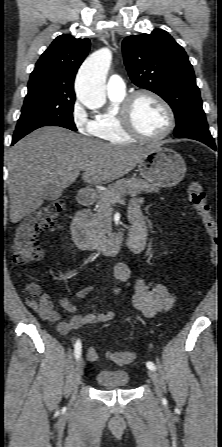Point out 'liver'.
<instances>
[{
  "instance_id": "liver-1",
  "label": "liver",
  "mask_w": 222,
  "mask_h": 447,
  "mask_svg": "<svg viewBox=\"0 0 222 447\" xmlns=\"http://www.w3.org/2000/svg\"><path fill=\"white\" fill-rule=\"evenodd\" d=\"M154 147L107 144L56 126L37 129L8 152L11 222L39 209L48 185L66 188L81 170L86 183H110L133 170Z\"/></svg>"
}]
</instances>
